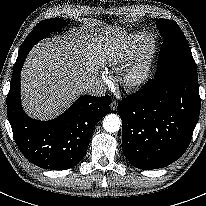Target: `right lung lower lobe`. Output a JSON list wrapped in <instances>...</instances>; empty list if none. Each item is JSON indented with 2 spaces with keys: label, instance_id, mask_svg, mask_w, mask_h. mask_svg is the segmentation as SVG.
<instances>
[{
  "label": "right lung lower lobe",
  "instance_id": "1",
  "mask_svg": "<svg viewBox=\"0 0 206 206\" xmlns=\"http://www.w3.org/2000/svg\"><path fill=\"white\" fill-rule=\"evenodd\" d=\"M31 48L19 50L7 96L8 120L22 154L46 169L66 170L84 157L94 125L110 112V96H81L59 117L38 121L28 117L20 102V72Z\"/></svg>",
  "mask_w": 206,
  "mask_h": 206
}]
</instances>
